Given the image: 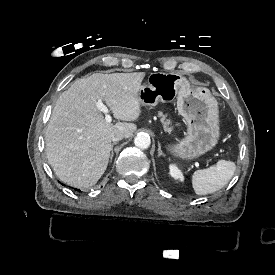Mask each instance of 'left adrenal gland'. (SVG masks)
Returning a JSON list of instances; mask_svg holds the SVG:
<instances>
[{"mask_svg": "<svg viewBox=\"0 0 275 275\" xmlns=\"http://www.w3.org/2000/svg\"><path fill=\"white\" fill-rule=\"evenodd\" d=\"M165 156V154L163 153V151L161 150V144H160V142H158V156L160 157V156Z\"/></svg>", "mask_w": 275, "mask_h": 275, "instance_id": "1", "label": "left adrenal gland"}]
</instances>
